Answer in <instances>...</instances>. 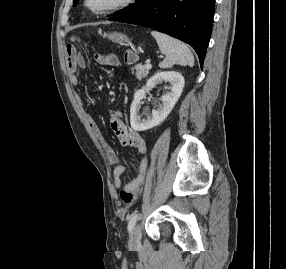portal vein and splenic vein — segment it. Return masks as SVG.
<instances>
[{
	"instance_id": "18ae733b",
	"label": "portal vein and splenic vein",
	"mask_w": 286,
	"mask_h": 269,
	"mask_svg": "<svg viewBox=\"0 0 286 269\" xmlns=\"http://www.w3.org/2000/svg\"><path fill=\"white\" fill-rule=\"evenodd\" d=\"M146 67H147L148 69H151V68H152V65H151L149 62H147Z\"/></svg>"
}]
</instances>
